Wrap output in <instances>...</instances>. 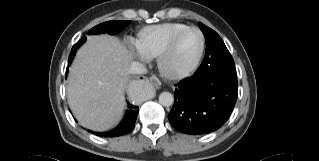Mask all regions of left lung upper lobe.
Returning a JSON list of instances; mask_svg holds the SVG:
<instances>
[{"mask_svg": "<svg viewBox=\"0 0 319 161\" xmlns=\"http://www.w3.org/2000/svg\"><path fill=\"white\" fill-rule=\"evenodd\" d=\"M199 26L206 39V53L194 75L220 72L237 76L234 60L220 36L202 23Z\"/></svg>", "mask_w": 319, "mask_h": 161, "instance_id": "left-lung-upper-lobe-1", "label": "left lung upper lobe"}]
</instances>
